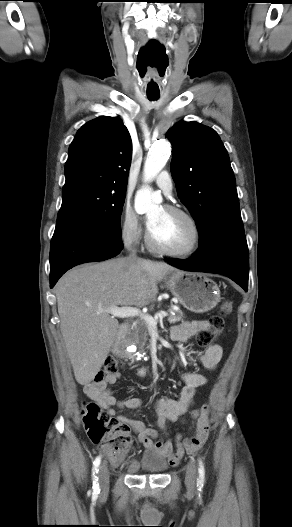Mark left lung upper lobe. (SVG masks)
Masks as SVG:
<instances>
[{"label": "left lung upper lobe", "instance_id": "obj_1", "mask_svg": "<svg viewBox=\"0 0 292 527\" xmlns=\"http://www.w3.org/2000/svg\"><path fill=\"white\" fill-rule=\"evenodd\" d=\"M166 137L173 144L171 172L178 196L196 221L199 247L223 238H244L234 173L216 131L182 121Z\"/></svg>", "mask_w": 292, "mask_h": 527}]
</instances>
